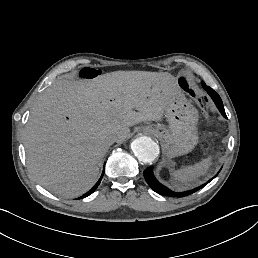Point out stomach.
Here are the masks:
<instances>
[{"label": "stomach", "instance_id": "obj_1", "mask_svg": "<svg viewBox=\"0 0 258 258\" xmlns=\"http://www.w3.org/2000/svg\"><path fill=\"white\" fill-rule=\"evenodd\" d=\"M175 94L164 107L168 125L149 124L143 131L154 135L168 158L188 154L198 144V110L186 98L179 81Z\"/></svg>", "mask_w": 258, "mask_h": 258}]
</instances>
